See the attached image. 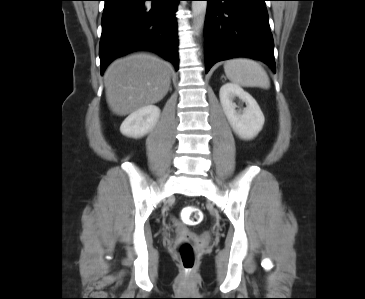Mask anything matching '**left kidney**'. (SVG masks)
<instances>
[{"label":"left kidney","mask_w":365,"mask_h":299,"mask_svg":"<svg viewBox=\"0 0 365 299\" xmlns=\"http://www.w3.org/2000/svg\"><path fill=\"white\" fill-rule=\"evenodd\" d=\"M219 97L231 127L241 138L252 139L262 130L264 115L249 93L238 85L226 83L220 88ZM235 101L239 102L238 105ZM242 102L246 104L245 108L240 107Z\"/></svg>","instance_id":"1"}]
</instances>
